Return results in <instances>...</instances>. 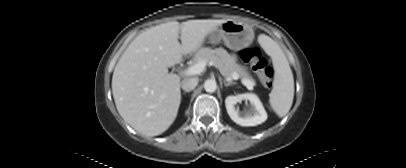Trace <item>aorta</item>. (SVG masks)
<instances>
[{"label":"aorta","mask_w":406,"mask_h":168,"mask_svg":"<svg viewBox=\"0 0 406 168\" xmlns=\"http://www.w3.org/2000/svg\"><path fill=\"white\" fill-rule=\"evenodd\" d=\"M204 89L206 92L213 93L217 89L216 81L213 79H208L204 82Z\"/></svg>","instance_id":"1"}]
</instances>
